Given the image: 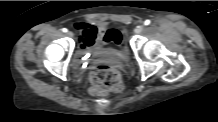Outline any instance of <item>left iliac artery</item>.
Instances as JSON below:
<instances>
[{
  "label": "left iliac artery",
  "instance_id": "left-iliac-artery-1",
  "mask_svg": "<svg viewBox=\"0 0 218 122\" xmlns=\"http://www.w3.org/2000/svg\"><path fill=\"white\" fill-rule=\"evenodd\" d=\"M150 23H151L150 20H146V21L144 22L145 25H149Z\"/></svg>",
  "mask_w": 218,
  "mask_h": 122
}]
</instances>
